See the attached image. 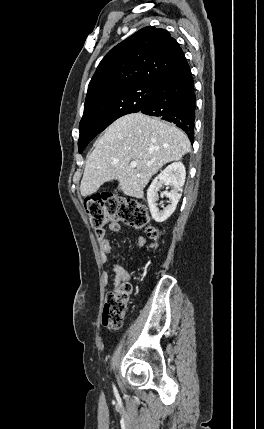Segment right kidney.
Masks as SVG:
<instances>
[{
	"label": "right kidney",
	"mask_w": 264,
	"mask_h": 429,
	"mask_svg": "<svg viewBox=\"0 0 264 429\" xmlns=\"http://www.w3.org/2000/svg\"><path fill=\"white\" fill-rule=\"evenodd\" d=\"M186 171L182 162H174L167 166L155 179L147 190V200L152 218L156 222L166 221L175 211L176 206L182 195V187L185 182ZM171 187L170 192L164 191L161 196L165 195L169 199V205L163 210L157 207L159 199L158 192L163 186Z\"/></svg>",
	"instance_id": "obj_1"
}]
</instances>
